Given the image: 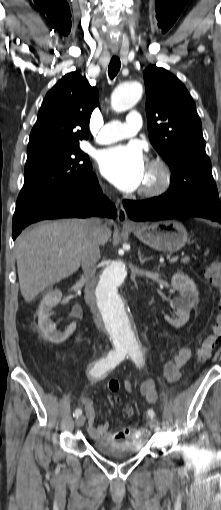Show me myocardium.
<instances>
[{"instance_id":"1","label":"myocardium","mask_w":221,"mask_h":510,"mask_svg":"<svg viewBox=\"0 0 221 510\" xmlns=\"http://www.w3.org/2000/svg\"><path fill=\"white\" fill-rule=\"evenodd\" d=\"M147 167L157 173V181L152 186L142 187L138 195L143 198H156L165 194L172 182V173L168 164L162 158H154L149 161Z\"/></svg>"}]
</instances>
